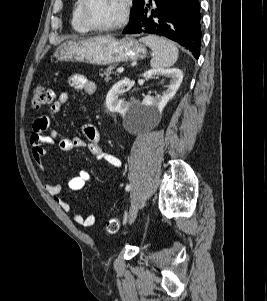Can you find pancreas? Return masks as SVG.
Here are the masks:
<instances>
[{
	"instance_id": "1",
	"label": "pancreas",
	"mask_w": 267,
	"mask_h": 301,
	"mask_svg": "<svg viewBox=\"0 0 267 301\" xmlns=\"http://www.w3.org/2000/svg\"><path fill=\"white\" fill-rule=\"evenodd\" d=\"M114 66H109L105 70H101L100 76L103 77L105 75V81H109L111 79L110 75L113 74Z\"/></svg>"
}]
</instances>
